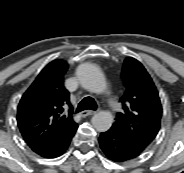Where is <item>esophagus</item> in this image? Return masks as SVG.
Segmentation results:
<instances>
[{
	"label": "esophagus",
	"mask_w": 184,
	"mask_h": 173,
	"mask_svg": "<svg viewBox=\"0 0 184 173\" xmlns=\"http://www.w3.org/2000/svg\"><path fill=\"white\" fill-rule=\"evenodd\" d=\"M96 113L97 111H94V110H84L80 113V115L81 117H86V116L94 115Z\"/></svg>",
	"instance_id": "esophagus-1"
}]
</instances>
